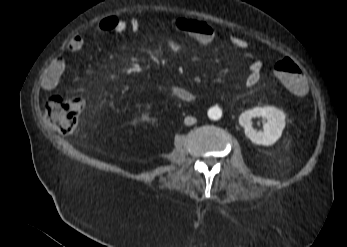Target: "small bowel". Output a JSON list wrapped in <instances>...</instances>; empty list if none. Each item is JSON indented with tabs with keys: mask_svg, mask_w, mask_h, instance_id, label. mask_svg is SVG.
Listing matches in <instances>:
<instances>
[{
	"mask_svg": "<svg viewBox=\"0 0 347 247\" xmlns=\"http://www.w3.org/2000/svg\"><path fill=\"white\" fill-rule=\"evenodd\" d=\"M171 25L175 29L194 38L203 47H211L216 40L215 31L204 20L181 18L173 20ZM140 26L141 23L136 18L125 20L119 19L116 16H110L104 18L98 24V30L102 33L120 34L126 30L136 32L140 29ZM228 41L232 47L237 49L242 56L249 61L252 68L250 69L248 76L245 78V84L248 87L254 86L260 79L259 73L262 67L260 60L255 58V56L248 51V42L242 36L230 34L228 36ZM83 46L84 38L81 35L76 34L70 38L66 48L70 52H78L83 48ZM170 47L174 51H179L182 48V44L177 41H171ZM64 70L65 63L62 59L56 58L50 62L41 79L42 89L45 91L56 89L60 83ZM170 92L173 96L183 102L189 103L194 100V93L184 86L172 85L170 87Z\"/></svg>",
	"mask_w": 347,
	"mask_h": 247,
	"instance_id": "1",
	"label": "small bowel"
}]
</instances>
